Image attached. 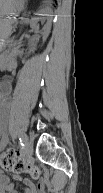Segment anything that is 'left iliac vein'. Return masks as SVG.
I'll return each instance as SVG.
<instances>
[{"label":"left iliac vein","instance_id":"left-iliac-vein-1","mask_svg":"<svg viewBox=\"0 0 103 193\" xmlns=\"http://www.w3.org/2000/svg\"><path fill=\"white\" fill-rule=\"evenodd\" d=\"M33 154V145L29 142L26 143L25 147V157L29 159Z\"/></svg>","mask_w":103,"mask_h":193}]
</instances>
